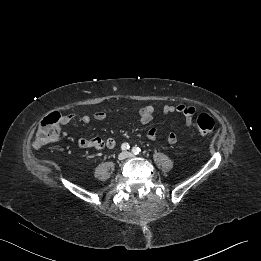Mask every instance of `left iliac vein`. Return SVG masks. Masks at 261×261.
Masks as SVG:
<instances>
[{
	"mask_svg": "<svg viewBox=\"0 0 261 261\" xmlns=\"http://www.w3.org/2000/svg\"><path fill=\"white\" fill-rule=\"evenodd\" d=\"M135 155L133 154V153H131V152H127L126 153V157L127 158H133Z\"/></svg>",
	"mask_w": 261,
	"mask_h": 261,
	"instance_id": "1",
	"label": "left iliac vein"
}]
</instances>
